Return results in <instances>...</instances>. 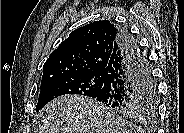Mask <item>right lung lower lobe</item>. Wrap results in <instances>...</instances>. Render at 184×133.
<instances>
[{"mask_svg":"<svg viewBox=\"0 0 184 133\" xmlns=\"http://www.w3.org/2000/svg\"><path fill=\"white\" fill-rule=\"evenodd\" d=\"M103 73V85L93 98L105 105H131L147 98L152 85L147 56L125 29Z\"/></svg>","mask_w":184,"mask_h":133,"instance_id":"98d812e1","label":"right lung lower lobe"}]
</instances>
